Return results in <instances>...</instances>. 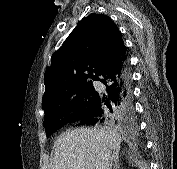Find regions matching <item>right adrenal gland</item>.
I'll return each instance as SVG.
<instances>
[{
  "label": "right adrenal gland",
  "mask_w": 177,
  "mask_h": 169,
  "mask_svg": "<svg viewBox=\"0 0 177 169\" xmlns=\"http://www.w3.org/2000/svg\"><path fill=\"white\" fill-rule=\"evenodd\" d=\"M114 154H115V158H114V169H120V164H119V152L116 151Z\"/></svg>",
  "instance_id": "1"
}]
</instances>
